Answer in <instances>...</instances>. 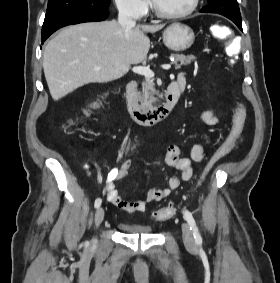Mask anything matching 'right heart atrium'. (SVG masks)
<instances>
[{"mask_svg":"<svg viewBox=\"0 0 280 283\" xmlns=\"http://www.w3.org/2000/svg\"><path fill=\"white\" fill-rule=\"evenodd\" d=\"M115 2L120 13L136 20L146 17L150 9L149 0H115Z\"/></svg>","mask_w":280,"mask_h":283,"instance_id":"1","label":"right heart atrium"}]
</instances>
